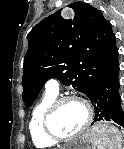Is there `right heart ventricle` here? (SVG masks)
I'll return each mask as SVG.
<instances>
[{
	"label": "right heart ventricle",
	"instance_id": "e07e8e85",
	"mask_svg": "<svg viewBox=\"0 0 124 149\" xmlns=\"http://www.w3.org/2000/svg\"><path fill=\"white\" fill-rule=\"evenodd\" d=\"M56 98V93L47 92L32 109L28 128L31 139L36 147L50 148L56 144V142L49 139L43 131L45 112Z\"/></svg>",
	"mask_w": 124,
	"mask_h": 149
}]
</instances>
